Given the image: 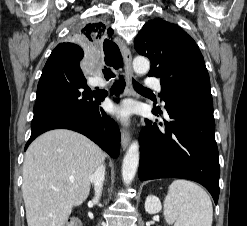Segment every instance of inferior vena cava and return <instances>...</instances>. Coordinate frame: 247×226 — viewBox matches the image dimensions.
Returning <instances> with one entry per match:
<instances>
[{
  "mask_svg": "<svg viewBox=\"0 0 247 226\" xmlns=\"http://www.w3.org/2000/svg\"><path fill=\"white\" fill-rule=\"evenodd\" d=\"M105 177V167L100 165L96 168L94 174L91 176V182L94 184L95 197L94 202H98L102 193L103 182Z\"/></svg>",
  "mask_w": 247,
  "mask_h": 226,
  "instance_id": "602c4592",
  "label": "inferior vena cava"
}]
</instances>
